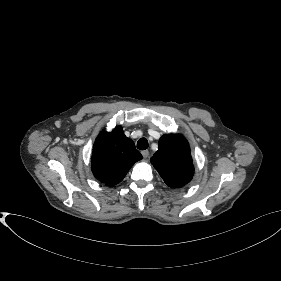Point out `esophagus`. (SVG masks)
Masks as SVG:
<instances>
[{
	"instance_id": "esophagus-1",
	"label": "esophagus",
	"mask_w": 281,
	"mask_h": 281,
	"mask_svg": "<svg viewBox=\"0 0 281 281\" xmlns=\"http://www.w3.org/2000/svg\"><path fill=\"white\" fill-rule=\"evenodd\" d=\"M141 154L143 155L144 158H147L149 156V151L143 150V151H141Z\"/></svg>"
}]
</instances>
